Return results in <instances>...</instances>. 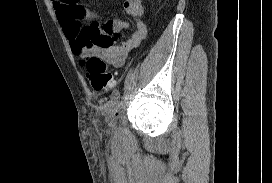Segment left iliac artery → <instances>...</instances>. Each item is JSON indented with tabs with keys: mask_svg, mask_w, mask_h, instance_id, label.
Segmentation results:
<instances>
[{
	"mask_svg": "<svg viewBox=\"0 0 272 183\" xmlns=\"http://www.w3.org/2000/svg\"><path fill=\"white\" fill-rule=\"evenodd\" d=\"M120 97V92L118 90L114 91L112 94V99H118Z\"/></svg>",
	"mask_w": 272,
	"mask_h": 183,
	"instance_id": "1",
	"label": "left iliac artery"
}]
</instances>
